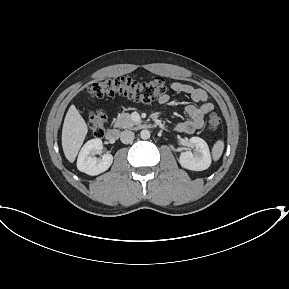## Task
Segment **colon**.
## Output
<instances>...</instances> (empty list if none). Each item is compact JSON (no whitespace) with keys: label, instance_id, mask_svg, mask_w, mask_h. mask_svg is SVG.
I'll return each mask as SVG.
<instances>
[{"label":"colon","instance_id":"5ec220e1","mask_svg":"<svg viewBox=\"0 0 289 289\" xmlns=\"http://www.w3.org/2000/svg\"><path fill=\"white\" fill-rule=\"evenodd\" d=\"M167 91L166 81L157 77L150 81L139 82L129 77H115L104 81L93 82L87 86V93L93 98L123 95L128 98L150 103ZM221 117L216 112L207 116V126L215 131L220 128ZM107 118L103 111H95L89 115L88 126L95 137H102L106 130Z\"/></svg>","mask_w":289,"mask_h":289}]
</instances>
